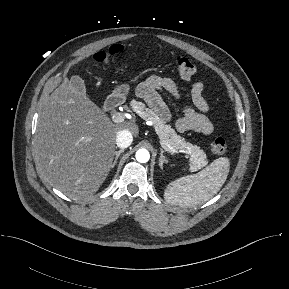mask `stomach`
Segmentation results:
<instances>
[{
    "label": "stomach",
    "mask_w": 289,
    "mask_h": 289,
    "mask_svg": "<svg viewBox=\"0 0 289 289\" xmlns=\"http://www.w3.org/2000/svg\"><path fill=\"white\" fill-rule=\"evenodd\" d=\"M129 90H130L129 84L124 83V84L118 85L114 89L113 95L124 99L129 93Z\"/></svg>",
    "instance_id": "obj_1"
}]
</instances>
